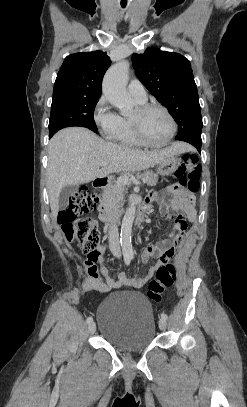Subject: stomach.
<instances>
[{
  "mask_svg": "<svg viewBox=\"0 0 247 407\" xmlns=\"http://www.w3.org/2000/svg\"><path fill=\"white\" fill-rule=\"evenodd\" d=\"M181 158L178 155H173L170 157L165 158L163 161L159 163L158 166V174L162 176H167L173 174L179 166L181 165Z\"/></svg>",
  "mask_w": 247,
  "mask_h": 407,
  "instance_id": "0dacf381",
  "label": "stomach"
}]
</instances>
